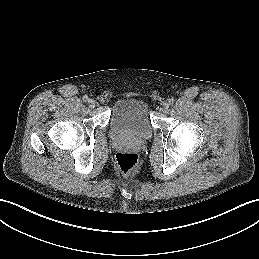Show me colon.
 <instances>
[{
	"instance_id": "obj_1",
	"label": "colon",
	"mask_w": 259,
	"mask_h": 259,
	"mask_svg": "<svg viewBox=\"0 0 259 259\" xmlns=\"http://www.w3.org/2000/svg\"><path fill=\"white\" fill-rule=\"evenodd\" d=\"M115 162L123 175H129L138 167L139 158L133 152H119L115 156Z\"/></svg>"
}]
</instances>
